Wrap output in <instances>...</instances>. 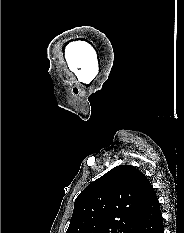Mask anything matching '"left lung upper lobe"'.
Segmentation results:
<instances>
[{
    "label": "left lung upper lobe",
    "mask_w": 184,
    "mask_h": 233,
    "mask_svg": "<svg viewBox=\"0 0 184 233\" xmlns=\"http://www.w3.org/2000/svg\"><path fill=\"white\" fill-rule=\"evenodd\" d=\"M154 192L136 167L116 166L76 198L66 233H132Z\"/></svg>",
    "instance_id": "5c2ea615"
}]
</instances>
